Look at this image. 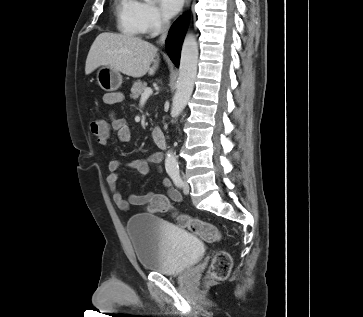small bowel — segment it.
<instances>
[{"instance_id": "obj_1", "label": "small bowel", "mask_w": 363, "mask_h": 317, "mask_svg": "<svg viewBox=\"0 0 363 317\" xmlns=\"http://www.w3.org/2000/svg\"><path fill=\"white\" fill-rule=\"evenodd\" d=\"M103 101L107 105H116L123 101V95L120 92H108L104 94ZM105 126L104 133L97 136V140L101 145H107L112 134H115L121 143L131 141L132 133L130 128L123 119L118 118L115 114L111 115L110 122L105 123ZM162 159L163 157L160 153H153L148 158L129 160L125 163L118 159H112L108 162L109 174L107 176V184L112 192L113 201L120 210H127L130 205H134L144 208L148 212L155 213L151 210L152 203L164 201L167 206L162 207L160 211L156 212L159 214L169 210L170 200L175 202L181 201V193L172 187L171 181L167 178L162 181L163 186L167 189V196L156 193L132 194L128 199H125L117 189L118 169L122 165L130 170H137L141 175L145 176L149 173L151 165L160 169Z\"/></svg>"}]
</instances>
